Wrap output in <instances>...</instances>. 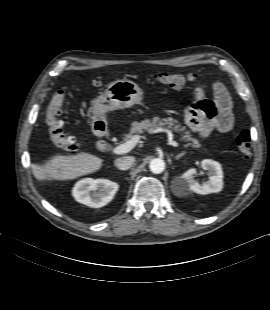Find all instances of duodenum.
<instances>
[{
  "mask_svg": "<svg viewBox=\"0 0 270 310\" xmlns=\"http://www.w3.org/2000/svg\"><path fill=\"white\" fill-rule=\"evenodd\" d=\"M97 147L98 149L102 150L107 147V144L104 141H99Z\"/></svg>",
  "mask_w": 270,
  "mask_h": 310,
  "instance_id": "410a0bca",
  "label": "duodenum"
}]
</instances>
